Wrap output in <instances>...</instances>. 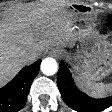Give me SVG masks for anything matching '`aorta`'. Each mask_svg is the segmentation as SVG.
Here are the masks:
<instances>
[{
  "label": "aorta",
  "instance_id": "762f6f07",
  "mask_svg": "<svg viewBox=\"0 0 112 112\" xmlns=\"http://www.w3.org/2000/svg\"><path fill=\"white\" fill-rule=\"evenodd\" d=\"M40 68L44 75L52 76L58 71V64L54 58L48 57L42 61Z\"/></svg>",
  "mask_w": 112,
  "mask_h": 112
}]
</instances>
